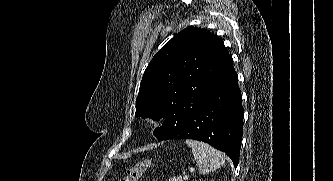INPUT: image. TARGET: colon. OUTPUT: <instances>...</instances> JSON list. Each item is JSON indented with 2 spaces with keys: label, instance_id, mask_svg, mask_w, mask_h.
<instances>
[{
  "label": "colon",
  "instance_id": "obj_1",
  "mask_svg": "<svg viewBox=\"0 0 333 181\" xmlns=\"http://www.w3.org/2000/svg\"><path fill=\"white\" fill-rule=\"evenodd\" d=\"M153 161L143 160L126 171V176L120 181H139L142 175L152 167Z\"/></svg>",
  "mask_w": 333,
  "mask_h": 181
}]
</instances>
